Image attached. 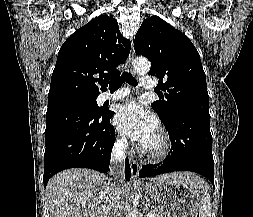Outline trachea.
Segmentation results:
<instances>
[{"mask_svg":"<svg viewBox=\"0 0 253 217\" xmlns=\"http://www.w3.org/2000/svg\"><path fill=\"white\" fill-rule=\"evenodd\" d=\"M124 81H126L128 84L132 86L138 85L137 80L130 73L123 72V74L120 77L109 82L110 90L114 91L119 89Z\"/></svg>","mask_w":253,"mask_h":217,"instance_id":"obj_1","label":"trachea"}]
</instances>
